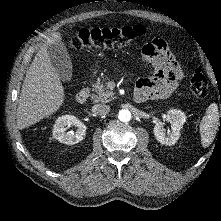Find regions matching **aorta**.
I'll use <instances>...</instances> for the list:
<instances>
[{
  "instance_id": "obj_1",
  "label": "aorta",
  "mask_w": 221,
  "mask_h": 221,
  "mask_svg": "<svg viewBox=\"0 0 221 221\" xmlns=\"http://www.w3.org/2000/svg\"><path fill=\"white\" fill-rule=\"evenodd\" d=\"M118 118L122 122H128L131 119V113L129 110L122 109L119 111Z\"/></svg>"
}]
</instances>
